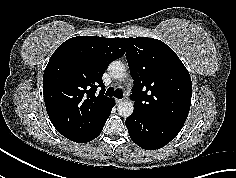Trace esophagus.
<instances>
[{
    "label": "esophagus",
    "instance_id": "1",
    "mask_svg": "<svg viewBox=\"0 0 236 178\" xmlns=\"http://www.w3.org/2000/svg\"><path fill=\"white\" fill-rule=\"evenodd\" d=\"M122 101H124V99H116L117 104L121 103Z\"/></svg>",
    "mask_w": 236,
    "mask_h": 178
}]
</instances>
